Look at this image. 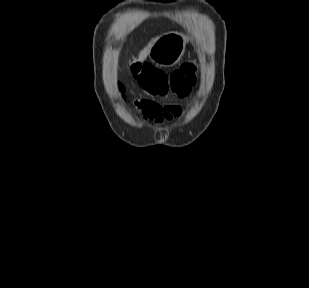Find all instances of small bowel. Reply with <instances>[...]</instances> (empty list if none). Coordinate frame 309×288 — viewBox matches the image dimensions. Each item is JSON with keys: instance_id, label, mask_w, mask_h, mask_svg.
<instances>
[{"instance_id": "1", "label": "small bowel", "mask_w": 309, "mask_h": 288, "mask_svg": "<svg viewBox=\"0 0 309 288\" xmlns=\"http://www.w3.org/2000/svg\"><path fill=\"white\" fill-rule=\"evenodd\" d=\"M144 70L145 68H142V71ZM139 71H141V68ZM135 105L140 109V111L146 118L156 120L158 122L171 119L172 117H176L181 113V109L179 107L176 106L161 107L158 104L148 100H142L136 102Z\"/></svg>"}]
</instances>
